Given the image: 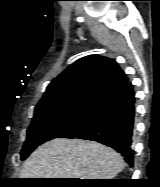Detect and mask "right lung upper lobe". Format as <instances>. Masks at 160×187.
<instances>
[{
  "label": "right lung upper lobe",
  "instance_id": "obj_1",
  "mask_svg": "<svg viewBox=\"0 0 160 187\" xmlns=\"http://www.w3.org/2000/svg\"><path fill=\"white\" fill-rule=\"evenodd\" d=\"M128 83L115 60L90 55L77 60L48 85L36 108L71 101H95Z\"/></svg>",
  "mask_w": 160,
  "mask_h": 187
}]
</instances>
